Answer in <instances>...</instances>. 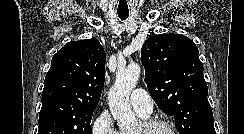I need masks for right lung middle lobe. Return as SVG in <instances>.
<instances>
[{
  "label": "right lung middle lobe",
  "instance_id": "1",
  "mask_svg": "<svg viewBox=\"0 0 244 134\" xmlns=\"http://www.w3.org/2000/svg\"><path fill=\"white\" fill-rule=\"evenodd\" d=\"M95 107L60 100L42 103L38 134H91Z\"/></svg>",
  "mask_w": 244,
  "mask_h": 134
}]
</instances>
